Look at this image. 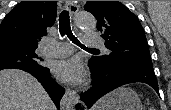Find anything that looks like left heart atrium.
<instances>
[{
    "label": "left heart atrium",
    "instance_id": "39dd6f15",
    "mask_svg": "<svg viewBox=\"0 0 171 110\" xmlns=\"http://www.w3.org/2000/svg\"><path fill=\"white\" fill-rule=\"evenodd\" d=\"M54 76L66 83L77 84L84 78L85 72L79 58L57 61L52 66Z\"/></svg>",
    "mask_w": 171,
    "mask_h": 110
}]
</instances>
